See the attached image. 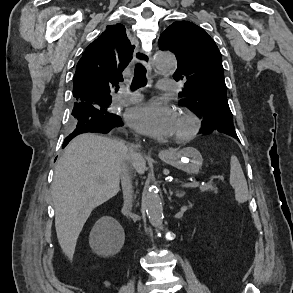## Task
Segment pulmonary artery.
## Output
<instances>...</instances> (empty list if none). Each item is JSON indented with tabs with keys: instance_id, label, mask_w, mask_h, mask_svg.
I'll list each match as a JSON object with an SVG mask.
<instances>
[{
	"instance_id": "obj_1",
	"label": "pulmonary artery",
	"mask_w": 293,
	"mask_h": 293,
	"mask_svg": "<svg viewBox=\"0 0 293 293\" xmlns=\"http://www.w3.org/2000/svg\"><path fill=\"white\" fill-rule=\"evenodd\" d=\"M158 88L160 91L168 92L176 89V84L174 81L169 79H161L158 81ZM141 95L138 93L129 92L126 88H121L119 95L117 97V102L120 105H125L139 101Z\"/></svg>"
}]
</instances>
